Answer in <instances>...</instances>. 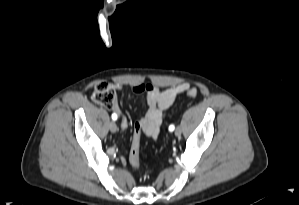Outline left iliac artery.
I'll return each instance as SVG.
<instances>
[{"label": "left iliac artery", "mask_w": 299, "mask_h": 205, "mask_svg": "<svg viewBox=\"0 0 299 205\" xmlns=\"http://www.w3.org/2000/svg\"><path fill=\"white\" fill-rule=\"evenodd\" d=\"M174 129H175V126H174V125H170V126H169V131L172 132Z\"/></svg>", "instance_id": "obj_1"}]
</instances>
